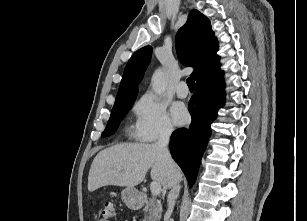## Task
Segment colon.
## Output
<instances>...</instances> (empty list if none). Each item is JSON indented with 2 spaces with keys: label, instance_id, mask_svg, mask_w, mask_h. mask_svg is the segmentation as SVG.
I'll return each instance as SVG.
<instances>
[{
  "label": "colon",
  "instance_id": "obj_1",
  "mask_svg": "<svg viewBox=\"0 0 307 221\" xmlns=\"http://www.w3.org/2000/svg\"><path fill=\"white\" fill-rule=\"evenodd\" d=\"M115 217V205L112 201L104 202L101 209V220L100 221H109Z\"/></svg>",
  "mask_w": 307,
  "mask_h": 221
}]
</instances>
